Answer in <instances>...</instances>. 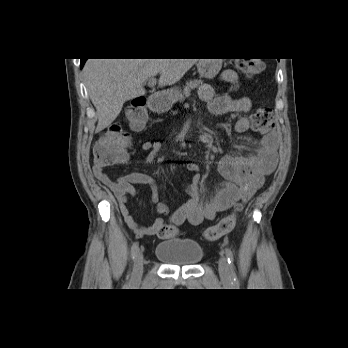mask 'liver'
I'll list each match as a JSON object with an SVG mask.
<instances>
[{"label":"liver","mask_w":348,"mask_h":348,"mask_svg":"<svg viewBox=\"0 0 348 348\" xmlns=\"http://www.w3.org/2000/svg\"><path fill=\"white\" fill-rule=\"evenodd\" d=\"M199 59H88L83 68L89 97L96 108V132L108 127L123 104L146 93L145 82L160 75L158 86L177 83Z\"/></svg>","instance_id":"obj_1"}]
</instances>
